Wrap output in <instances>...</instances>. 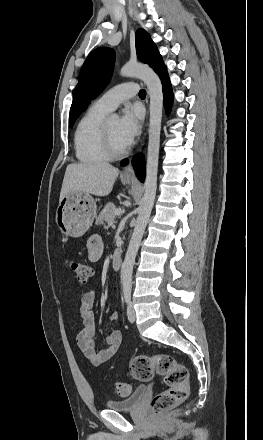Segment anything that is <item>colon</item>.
<instances>
[{
  "mask_svg": "<svg viewBox=\"0 0 263 440\" xmlns=\"http://www.w3.org/2000/svg\"><path fill=\"white\" fill-rule=\"evenodd\" d=\"M65 267L79 283H85L91 275V268L84 262L68 259ZM127 372L132 379L140 382L150 381L155 375L163 377L166 389L157 393L151 401V409L155 414L175 408L188 396V371L170 353L136 356L129 362ZM115 390L119 395L127 396L131 392V386L128 383H117Z\"/></svg>",
  "mask_w": 263,
  "mask_h": 440,
  "instance_id": "1",
  "label": "colon"
}]
</instances>
